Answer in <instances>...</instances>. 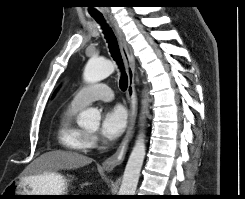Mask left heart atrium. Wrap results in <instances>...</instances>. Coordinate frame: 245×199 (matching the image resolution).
<instances>
[{
  "instance_id": "left-heart-atrium-1",
  "label": "left heart atrium",
  "mask_w": 245,
  "mask_h": 199,
  "mask_svg": "<svg viewBox=\"0 0 245 199\" xmlns=\"http://www.w3.org/2000/svg\"><path fill=\"white\" fill-rule=\"evenodd\" d=\"M127 114L122 106L116 105L105 110L101 121L100 133L108 140L117 139L125 130Z\"/></svg>"
}]
</instances>
